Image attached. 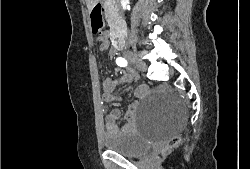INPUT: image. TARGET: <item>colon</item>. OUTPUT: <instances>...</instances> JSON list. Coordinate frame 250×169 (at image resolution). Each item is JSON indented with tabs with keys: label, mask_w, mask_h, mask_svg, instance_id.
Returning <instances> with one entry per match:
<instances>
[{
	"label": "colon",
	"mask_w": 250,
	"mask_h": 169,
	"mask_svg": "<svg viewBox=\"0 0 250 169\" xmlns=\"http://www.w3.org/2000/svg\"><path fill=\"white\" fill-rule=\"evenodd\" d=\"M91 30L94 34L101 33L104 27L103 13L100 7H95L90 12ZM181 138H168V141H164L162 150L166 152L169 150H177V146H180Z\"/></svg>",
	"instance_id": "1"
}]
</instances>
